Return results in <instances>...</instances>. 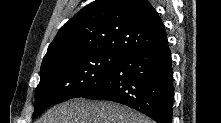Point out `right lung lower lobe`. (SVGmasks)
<instances>
[{
	"label": "right lung lower lobe",
	"mask_w": 221,
	"mask_h": 123,
	"mask_svg": "<svg viewBox=\"0 0 221 123\" xmlns=\"http://www.w3.org/2000/svg\"><path fill=\"white\" fill-rule=\"evenodd\" d=\"M81 97L118 102L158 123H171L174 87L167 42L128 53L104 82Z\"/></svg>",
	"instance_id": "1"
}]
</instances>
